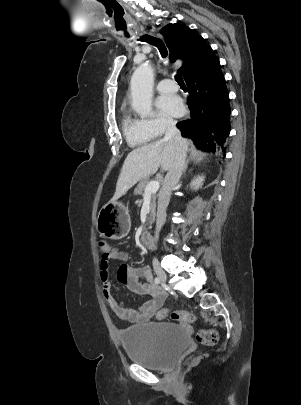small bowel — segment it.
Returning a JSON list of instances; mask_svg holds the SVG:
<instances>
[{
	"instance_id": "1",
	"label": "small bowel",
	"mask_w": 301,
	"mask_h": 405,
	"mask_svg": "<svg viewBox=\"0 0 301 405\" xmlns=\"http://www.w3.org/2000/svg\"><path fill=\"white\" fill-rule=\"evenodd\" d=\"M119 261L117 280L128 286L131 290L149 299L138 309L126 307L118 301L111 292L109 281V262ZM128 254L118 249H110L107 257H101L100 280L102 293L108 306L122 320L132 323H140L150 320L157 312L166 298V292L152 283V274L149 267H133L127 263Z\"/></svg>"
}]
</instances>
